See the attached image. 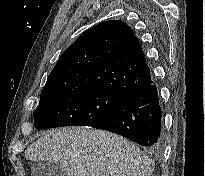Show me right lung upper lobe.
<instances>
[{"instance_id":"right-lung-upper-lobe-1","label":"right lung upper lobe","mask_w":205,"mask_h":176,"mask_svg":"<svg viewBox=\"0 0 205 176\" xmlns=\"http://www.w3.org/2000/svg\"><path fill=\"white\" fill-rule=\"evenodd\" d=\"M150 82V68L132 29L110 20L84 32L64 51L41 96L88 89L127 96Z\"/></svg>"}]
</instances>
